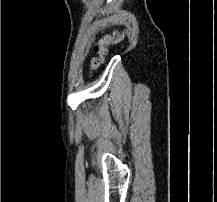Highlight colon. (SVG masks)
Segmentation results:
<instances>
[{
  "instance_id": "obj_1",
  "label": "colon",
  "mask_w": 217,
  "mask_h": 202,
  "mask_svg": "<svg viewBox=\"0 0 217 202\" xmlns=\"http://www.w3.org/2000/svg\"><path fill=\"white\" fill-rule=\"evenodd\" d=\"M122 38V33L120 31H115L112 34L104 35L96 41L94 45L95 57L91 60L89 65L90 73L103 65L106 55L108 53L109 46L115 42L121 41ZM87 79H92V74H87Z\"/></svg>"
}]
</instances>
